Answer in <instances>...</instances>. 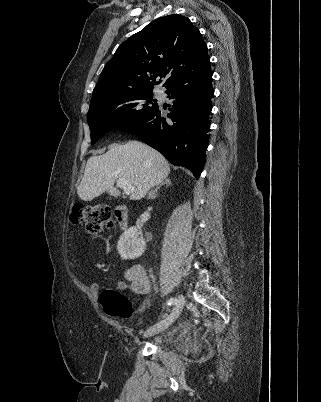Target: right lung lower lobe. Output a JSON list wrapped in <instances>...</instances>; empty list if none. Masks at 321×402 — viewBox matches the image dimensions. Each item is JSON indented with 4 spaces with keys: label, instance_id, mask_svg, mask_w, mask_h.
I'll list each match as a JSON object with an SVG mask.
<instances>
[{
    "label": "right lung lower lobe",
    "instance_id": "obj_1",
    "mask_svg": "<svg viewBox=\"0 0 321 402\" xmlns=\"http://www.w3.org/2000/svg\"><path fill=\"white\" fill-rule=\"evenodd\" d=\"M212 74L209 64L166 86L169 99H173L168 118L162 116L163 110L158 106L148 116L120 129L135 134L174 165L191 170L198 179L209 140Z\"/></svg>",
    "mask_w": 321,
    "mask_h": 402
}]
</instances>
